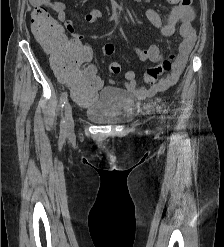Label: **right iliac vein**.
<instances>
[{"label": "right iliac vein", "instance_id": "63e3f726", "mask_svg": "<svg viewBox=\"0 0 224 247\" xmlns=\"http://www.w3.org/2000/svg\"><path fill=\"white\" fill-rule=\"evenodd\" d=\"M64 114H65V121H66V131L68 133H71L74 129V120H73V115H72V107L70 103L68 102L65 105Z\"/></svg>", "mask_w": 224, "mask_h": 247}]
</instances>
